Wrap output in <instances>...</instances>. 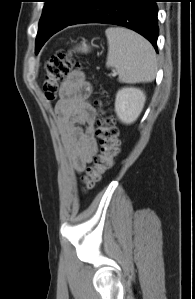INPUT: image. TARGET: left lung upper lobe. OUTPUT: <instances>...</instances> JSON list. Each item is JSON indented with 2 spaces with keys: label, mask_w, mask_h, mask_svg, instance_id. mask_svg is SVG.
<instances>
[{
  "label": "left lung upper lobe",
  "mask_w": 195,
  "mask_h": 299,
  "mask_svg": "<svg viewBox=\"0 0 195 299\" xmlns=\"http://www.w3.org/2000/svg\"><path fill=\"white\" fill-rule=\"evenodd\" d=\"M89 0H44L43 14L36 38V53L54 33L72 24ZM54 32L53 34H51Z\"/></svg>",
  "instance_id": "obj_1"
}]
</instances>
